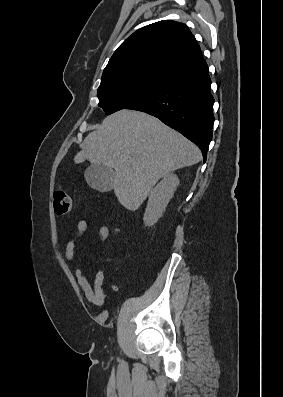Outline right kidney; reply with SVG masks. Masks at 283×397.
I'll list each match as a JSON object with an SVG mask.
<instances>
[{"label":"right kidney","mask_w":283,"mask_h":397,"mask_svg":"<svg viewBox=\"0 0 283 397\" xmlns=\"http://www.w3.org/2000/svg\"><path fill=\"white\" fill-rule=\"evenodd\" d=\"M179 185V179L176 174L168 173L163 179L150 191L148 204L144 214V223L146 226H153L162 216L163 211L168 205L170 199Z\"/></svg>","instance_id":"1"}]
</instances>
